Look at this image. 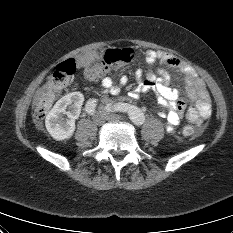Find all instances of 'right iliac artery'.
Segmentation results:
<instances>
[{"mask_svg": "<svg viewBox=\"0 0 233 233\" xmlns=\"http://www.w3.org/2000/svg\"><path fill=\"white\" fill-rule=\"evenodd\" d=\"M97 99H90L85 106V110L88 114L93 115L95 112V108L97 106Z\"/></svg>", "mask_w": 233, "mask_h": 233, "instance_id": "82829eb1", "label": "right iliac artery"}]
</instances>
